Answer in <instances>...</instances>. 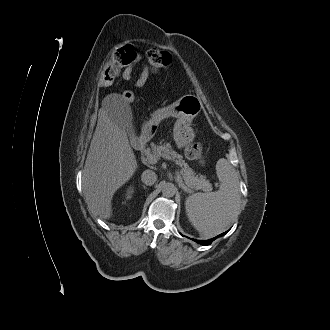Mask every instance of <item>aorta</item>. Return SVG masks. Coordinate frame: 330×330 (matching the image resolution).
<instances>
[{
	"mask_svg": "<svg viewBox=\"0 0 330 330\" xmlns=\"http://www.w3.org/2000/svg\"><path fill=\"white\" fill-rule=\"evenodd\" d=\"M162 194L165 197H173L177 191L176 186L171 182H165L161 188Z\"/></svg>",
	"mask_w": 330,
	"mask_h": 330,
	"instance_id": "obj_1",
	"label": "aorta"
}]
</instances>
